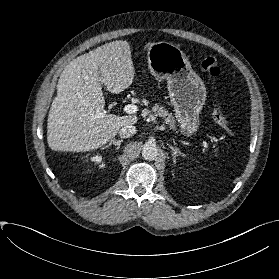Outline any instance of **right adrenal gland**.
Masks as SVG:
<instances>
[{
  "label": "right adrenal gland",
  "instance_id": "1",
  "mask_svg": "<svg viewBox=\"0 0 279 279\" xmlns=\"http://www.w3.org/2000/svg\"><path fill=\"white\" fill-rule=\"evenodd\" d=\"M123 142V140H116L115 138L110 140V142L103 147V149H106L108 147H110L112 144L116 145V149L118 150L120 148L121 143Z\"/></svg>",
  "mask_w": 279,
  "mask_h": 279
}]
</instances>
